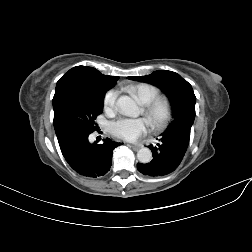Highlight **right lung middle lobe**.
<instances>
[{"mask_svg":"<svg viewBox=\"0 0 252 252\" xmlns=\"http://www.w3.org/2000/svg\"><path fill=\"white\" fill-rule=\"evenodd\" d=\"M107 89L66 87L53 98L54 128L57 136L69 132L91 133L94 120L103 112Z\"/></svg>","mask_w":252,"mask_h":252,"instance_id":"right-lung-middle-lobe-1","label":"right lung middle lobe"}]
</instances>
